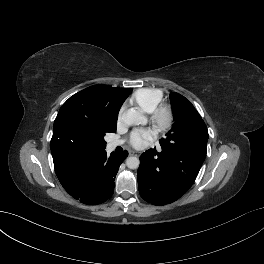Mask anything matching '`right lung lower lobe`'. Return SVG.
Here are the masks:
<instances>
[{
    "mask_svg": "<svg viewBox=\"0 0 264 264\" xmlns=\"http://www.w3.org/2000/svg\"><path fill=\"white\" fill-rule=\"evenodd\" d=\"M127 155L124 151L107 157L105 149L87 153L57 176L73 198L88 205L100 204L112 196L116 174Z\"/></svg>",
    "mask_w": 264,
    "mask_h": 264,
    "instance_id": "obj_1",
    "label": "right lung lower lobe"
}]
</instances>
